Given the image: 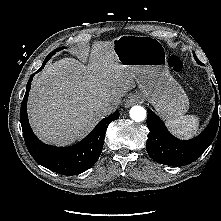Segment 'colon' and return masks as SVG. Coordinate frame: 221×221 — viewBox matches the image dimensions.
<instances>
[{
    "instance_id": "obj_1",
    "label": "colon",
    "mask_w": 221,
    "mask_h": 221,
    "mask_svg": "<svg viewBox=\"0 0 221 221\" xmlns=\"http://www.w3.org/2000/svg\"><path fill=\"white\" fill-rule=\"evenodd\" d=\"M169 66L174 72L179 73L183 70L184 64L179 57L172 56L169 58Z\"/></svg>"
}]
</instances>
